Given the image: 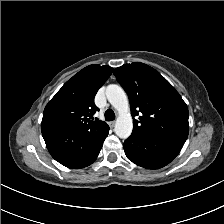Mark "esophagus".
<instances>
[{
	"label": "esophagus",
	"instance_id": "obj_1",
	"mask_svg": "<svg viewBox=\"0 0 224 224\" xmlns=\"http://www.w3.org/2000/svg\"><path fill=\"white\" fill-rule=\"evenodd\" d=\"M108 124H109V126H110L111 128H113L114 125H115V121H110Z\"/></svg>",
	"mask_w": 224,
	"mask_h": 224
}]
</instances>
